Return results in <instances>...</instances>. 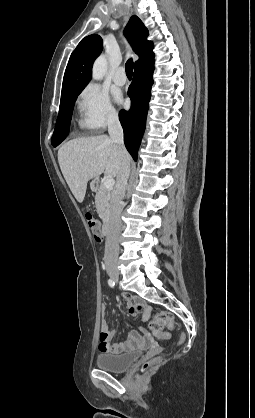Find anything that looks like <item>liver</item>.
<instances>
[{
	"instance_id": "obj_1",
	"label": "liver",
	"mask_w": 255,
	"mask_h": 418,
	"mask_svg": "<svg viewBox=\"0 0 255 418\" xmlns=\"http://www.w3.org/2000/svg\"><path fill=\"white\" fill-rule=\"evenodd\" d=\"M121 157L119 146L106 135L72 139L58 150L60 169L79 203L90 179L103 172L112 178L118 175Z\"/></svg>"
}]
</instances>
